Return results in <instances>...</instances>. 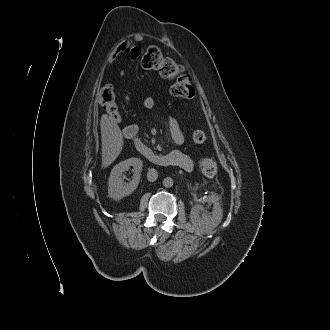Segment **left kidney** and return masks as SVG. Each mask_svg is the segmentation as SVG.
Here are the masks:
<instances>
[{"instance_id":"5707ae66","label":"left kidney","mask_w":330,"mask_h":330,"mask_svg":"<svg viewBox=\"0 0 330 330\" xmlns=\"http://www.w3.org/2000/svg\"><path fill=\"white\" fill-rule=\"evenodd\" d=\"M209 201L213 203V210L208 213L203 206L196 204L190 212V220L196 230L203 234L211 232L216 228L222 220L223 210L220 203L215 197H209Z\"/></svg>"}]
</instances>
